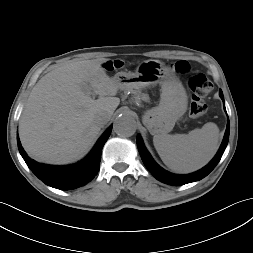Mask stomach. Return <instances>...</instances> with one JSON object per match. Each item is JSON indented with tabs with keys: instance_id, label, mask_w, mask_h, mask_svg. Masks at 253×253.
<instances>
[{
	"instance_id": "0dacf381",
	"label": "stomach",
	"mask_w": 253,
	"mask_h": 253,
	"mask_svg": "<svg viewBox=\"0 0 253 253\" xmlns=\"http://www.w3.org/2000/svg\"><path fill=\"white\" fill-rule=\"evenodd\" d=\"M112 80L121 90H142L161 85L160 103L147 110L143 124L151 134L170 132L176 121L186 112L188 97L173 69L159 60L141 62L135 72H118Z\"/></svg>"
}]
</instances>
